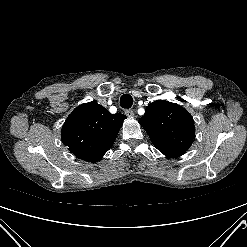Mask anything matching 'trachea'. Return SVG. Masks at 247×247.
I'll use <instances>...</instances> for the list:
<instances>
[{
	"label": "trachea",
	"mask_w": 247,
	"mask_h": 247,
	"mask_svg": "<svg viewBox=\"0 0 247 247\" xmlns=\"http://www.w3.org/2000/svg\"><path fill=\"white\" fill-rule=\"evenodd\" d=\"M133 104V98L129 94H124L120 98V106L124 109H129L131 108Z\"/></svg>",
	"instance_id": "1"
}]
</instances>
